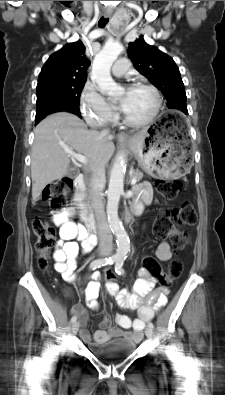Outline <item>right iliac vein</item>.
Returning <instances> with one entry per match:
<instances>
[{
  "instance_id": "1",
  "label": "right iliac vein",
  "mask_w": 225,
  "mask_h": 395,
  "mask_svg": "<svg viewBox=\"0 0 225 395\" xmlns=\"http://www.w3.org/2000/svg\"><path fill=\"white\" fill-rule=\"evenodd\" d=\"M79 330V322H74L72 325V333L76 334Z\"/></svg>"
}]
</instances>
